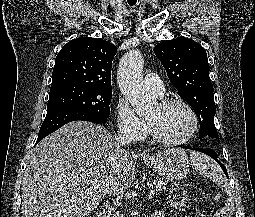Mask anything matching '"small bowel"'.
Returning a JSON list of instances; mask_svg holds the SVG:
<instances>
[{
	"mask_svg": "<svg viewBox=\"0 0 255 217\" xmlns=\"http://www.w3.org/2000/svg\"><path fill=\"white\" fill-rule=\"evenodd\" d=\"M217 216H218V217H222L223 214L221 213V214H218ZM153 217H162V215L159 214V213H157V214H155Z\"/></svg>",
	"mask_w": 255,
	"mask_h": 217,
	"instance_id": "obj_1",
	"label": "small bowel"
}]
</instances>
